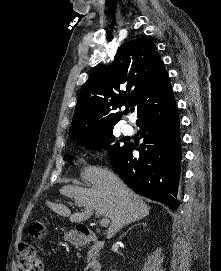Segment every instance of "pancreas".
Listing matches in <instances>:
<instances>
[{"mask_svg":"<svg viewBox=\"0 0 221 271\" xmlns=\"http://www.w3.org/2000/svg\"><path fill=\"white\" fill-rule=\"evenodd\" d=\"M94 255L91 251V249H89L88 253H87V261H90V259H93Z\"/></svg>","mask_w":221,"mask_h":271,"instance_id":"obj_1","label":"pancreas"}]
</instances>
